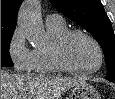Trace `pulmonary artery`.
<instances>
[{
  "label": "pulmonary artery",
  "mask_w": 115,
  "mask_h": 99,
  "mask_svg": "<svg viewBox=\"0 0 115 99\" xmlns=\"http://www.w3.org/2000/svg\"><path fill=\"white\" fill-rule=\"evenodd\" d=\"M63 18L59 14H49L46 17V22L51 23V22H62Z\"/></svg>",
  "instance_id": "1"
}]
</instances>
